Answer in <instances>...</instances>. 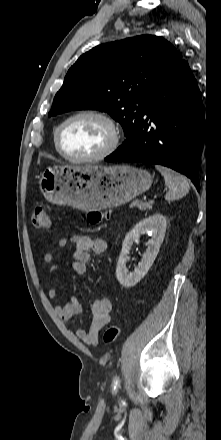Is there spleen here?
<instances>
[{"mask_svg": "<svg viewBox=\"0 0 221 440\" xmlns=\"http://www.w3.org/2000/svg\"><path fill=\"white\" fill-rule=\"evenodd\" d=\"M156 169L164 177L165 185L169 189L165 195L167 201L180 199L189 192L190 184L184 176L164 166L156 165Z\"/></svg>", "mask_w": 221, "mask_h": 440, "instance_id": "1", "label": "spleen"}]
</instances>
